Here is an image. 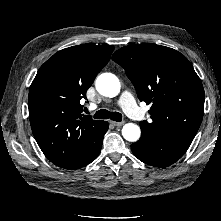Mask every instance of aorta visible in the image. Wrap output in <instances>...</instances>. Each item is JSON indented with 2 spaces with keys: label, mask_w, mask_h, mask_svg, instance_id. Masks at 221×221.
Instances as JSON below:
<instances>
[{
  "label": "aorta",
  "mask_w": 221,
  "mask_h": 221,
  "mask_svg": "<svg viewBox=\"0 0 221 221\" xmlns=\"http://www.w3.org/2000/svg\"><path fill=\"white\" fill-rule=\"evenodd\" d=\"M96 90L103 96L115 97L120 92V81L112 73H103L99 75L95 82ZM123 137L130 142H136L141 135L139 126L133 123H127L122 128Z\"/></svg>",
  "instance_id": "aorta-1"
}]
</instances>
